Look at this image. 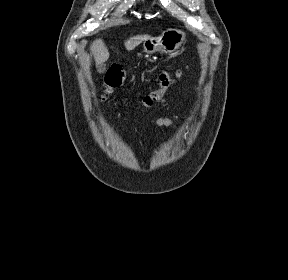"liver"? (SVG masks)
Instances as JSON below:
<instances>
[{
	"instance_id": "liver-1",
	"label": "liver",
	"mask_w": 288,
	"mask_h": 280,
	"mask_svg": "<svg viewBox=\"0 0 288 280\" xmlns=\"http://www.w3.org/2000/svg\"><path fill=\"white\" fill-rule=\"evenodd\" d=\"M148 38H150L149 35H138L131 37L127 41H125L124 43L125 48L127 50H132L135 47H137L140 43H142V41H145ZM90 50L94 55V59L97 64H103L109 58V51L101 39H96L92 43Z\"/></svg>"
}]
</instances>
